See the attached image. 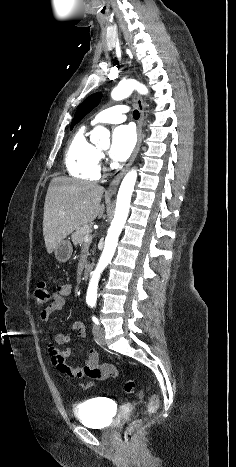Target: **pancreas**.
Returning <instances> with one entry per match:
<instances>
[{
	"mask_svg": "<svg viewBox=\"0 0 236 467\" xmlns=\"http://www.w3.org/2000/svg\"><path fill=\"white\" fill-rule=\"evenodd\" d=\"M92 230L88 227H80L77 229L75 232L72 233L71 239L72 242L74 243L75 246L80 245L83 246L84 248H87L89 245V242H84V237L90 236Z\"/></svg>",
	"mask_w": 236,
	"mask_h": 467,
	"instance_id": "cf45deb5",
	"label": "pancreas"
}]
</instances>
